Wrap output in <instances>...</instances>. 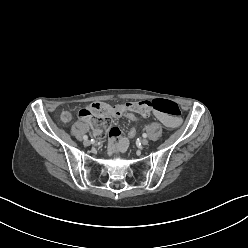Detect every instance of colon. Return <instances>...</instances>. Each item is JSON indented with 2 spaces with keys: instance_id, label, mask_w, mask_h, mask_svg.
<instances>
[{
  "instance_id": "colon-1",
  "label": "colon",
  "mask_w": 248,
  "mask_h": 248,
  "mask_svg": "<svg viewBox=\"0 0 248 248\" xmlns=\"http://www.w3.org/2000/svg\"><path fill=\"white\" fill-rule=\"evenodd\" d=\"M128 110L123 111V117L127 118L130 122H137L143 124L145 119L141 116H136L133 112L140 113L143 116H149L152 111H158L168 114L172 117L179 118L181 110L177 103L166 99H156L153 101H134L124 104ZM118 108L111 106L101 101L95 104L90 103L85 108L79 110L78 115L82 119H92V125L95 128L93 136L97 140H102L106 136V130L111 127L110 117L118 114ZM139 127L132 125L129 130V138L133 139L138 135Z\"/></svg>"
}]
</instances>
